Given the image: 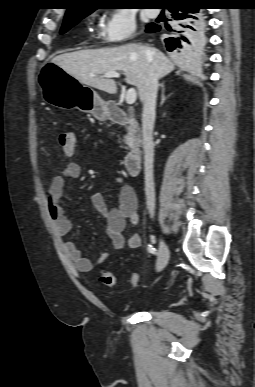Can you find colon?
Masks as SVG:
<instances>
[{
	"instance_id": "5ec220e1",
	"label": "colon",
	"mask_w": 255,
	"mask_h": 387,
	"mask_svg": "<svg viewBox=\"0 0 255 387\" xmlns=\"http://www.w3.org/2000/svg\"><path fill=\"white\" fill-rule=\"evenodd\" d=\"M58 141H59V146L65 155L68 156V155L73 154L75 147H76V137H75L73 132L62 131L59 134ZM99 281L103 285L110 287V288H113L117 285L116 277L114 276L113 273H111L107 270L101 271L100 276H99ZM139 281H140L139 274H137V273L130 274L129 283L132 286H137L139 284Z\"/></svg>"
}]
</instances>
